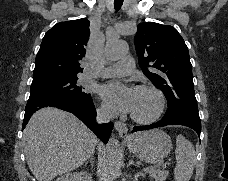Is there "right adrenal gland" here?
Here are the masks:
<instances>
[{
  "label": "right adrenal gland",
  "mask_w": 228,
  "mask_h": 181,
  "mask_svg": "<svg viewBox=\"0 0 228 181\" xmlns=\"http://www.w3.org/2000/svg\"><path fill=\"white\" fill-rule=\"evenodd\" d=\"M88 163H91V167L93 169V167H94L93 155H91V157H89L88 161H86V163H84L83 167H87Z\"/></svg>",
  "instance_id": "2a0ac1e0"
}]
</instances>
